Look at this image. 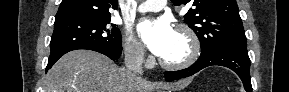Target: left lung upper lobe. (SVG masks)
<instances>
[{
	"instance_id": "1",
	"label": "left lung upper lobe",
	"mask_w": 289,
	"mask_h": 92,
	"mask_svg": "<svg viewBox=\"0 0 289 92\" xmlns=\"http://www.w3.org/2000/svg\"><path fill=\"white\" fill-rule=\"evenodd\" d=\"M175 5L191 0H171ZM185 23L201 43V55L232 45L246 46V37L236 0H192Z\"/></svg>"
}]
</instances>
